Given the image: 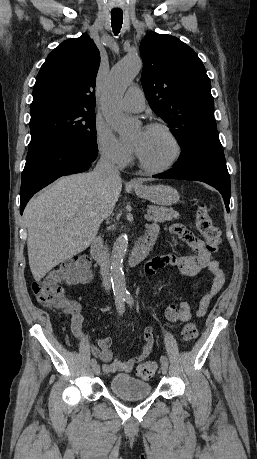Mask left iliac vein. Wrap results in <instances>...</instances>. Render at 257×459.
<instances>
[{"label":"left iliac vein","instance_id":"obj_1","mask_svg":"<svg viewBox=\"0 0 257 459\" xmlns=\"http://www.w3.org/2000/svg\"><path fill=\"white\" fill-rule=\"evenodd\" d=\"M161 371H162V374H167V371H168V365L167 364H162L161 365Z\"/></svg>","mask_w":257,"mask_h":459}]
</instances>
